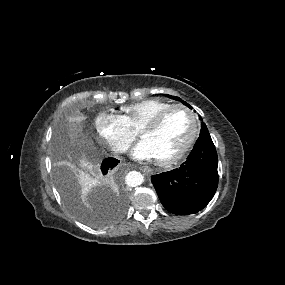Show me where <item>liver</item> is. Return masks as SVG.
Masks as SVG:
<instances>
[{"label": "liver", "instance_id": "liver-1", "mask_svg": "<svg viewBox=\"0 0 285 285\" xmlns=\"http://www.w3.org/2000/svg\"><path fill=\"white\" fill-rule=\"evenodd\" d=\"M75 132L76 127L72 129ZM81 167L86 170L92 172L93 170H98L99 164L95 161L89 160L88 157L84 156L81 160ZM81 181L84 185H88L90 183V178L85 176L84 174L80 175Z\"/></svg>", "mask_w": 285, "mask_h": 285}]
</instances>
